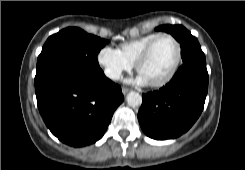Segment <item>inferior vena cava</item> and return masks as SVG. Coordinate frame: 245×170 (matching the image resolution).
I'll return each instance as SVG.
<instances>
[{"instance_id":"1","label":"inferior vena cava","mask_w":245,"mask_h":170,"mask_svg":"<svg viewBox=\"0 0 245 170\" xmlns=\"http://www.w3.org/2000/svg\"><path fill=\"white\" fill-rule=\"evenodd\" d=\"M105 75L111 79H119L120 72L113 69H105Z\"/></svg>"}]
</instances>
